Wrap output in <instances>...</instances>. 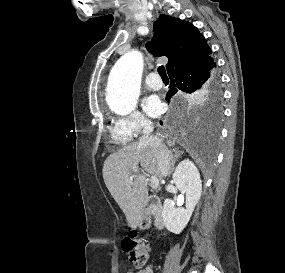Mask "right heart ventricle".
Wrapping results in <instances>:
<instances>
[{
    "label": "right heart ventricle",
    "mask_w": 285,
    "mask_h": 273,
    "mask_svg": "<svg viewBox=\"0 0 285 273\" xmlns=\"http://www.w3.org/2000/svg\"><path fill=\"white\" fill-rule=\"evenodd\" d=\"M110 133L114 142L119 145H125L131 140L130 137L119 131L116 125L110 128Z\"/></svg>",
    "instance_id": "1"
}]
</instances>
